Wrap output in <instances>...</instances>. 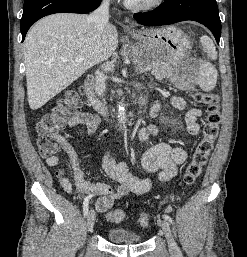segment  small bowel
<instances>
[{
	"label": "small bowel",
	"mask_w": 247,
	"mask_h": 257,
	"mask_svg": "<svg viewBox=\"0 0 247 257\" xmlns=\"http://www.w3.org/2000/svg\"><path fill=\"white\" fill-rule=\"evenodd\" d=\"M172 105L177 110L185 108V102L179 97L171 99ZM160 110V104L155 103L151 114L156 116ZM202 115L199 109H189L185 115L187 129L191 135L199 132L198 118ZM84 125L90 135H94L99 126L97 117L86 112L74 114L68 120L69 127ZM159 128L153 124L143 127L138 132L140 140H146L151 136H156ZM60 147L67 154L73 172V179L79 192L87 196H98L95 201V208L98 212L109 210L114 201L127 195L129 192L135 194H145L151 189V182L148 179H141L133 175L127 165L122 161H117L111 153H107L102 162L104 173L118 183L116 189L104 183H90L83 177L80 169L78 154L74 147L63 137H59ZM187 158L186 151L180 147H171L169 144L160 142L149 148L142 157L143 168L148 172H158L161 181L173 178L177 172V166L182 164ZM48 166L57 168L59 182L65 192L71 193L73 185L66 175V169L60 164L58 156H50L46 159Z\"/></svg>",
	"instance_id": "c3829d8e"
}]
</instances>
